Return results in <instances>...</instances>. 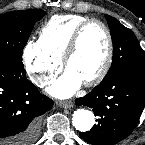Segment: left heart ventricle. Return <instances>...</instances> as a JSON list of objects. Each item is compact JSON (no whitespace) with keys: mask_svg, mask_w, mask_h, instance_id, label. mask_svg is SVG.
Returning <instances> with one entry per match:
<instances>
[{"mask_svg":"<svg viewBox=\"0 0 145 145\" xmlns=\"http://www.w3.org/2000/svg\"><path fill=\"white\" fill-rule=\"evenodd\" d=\"M107 52V38L103 28L91 24L82 33L78 49L71 58L67 70L81 80L94 76L101 68Z\"/></svg>","mask_w":145,"mask_h":145,"instance_id":"1","label":"left heart ventricle"}]
</instances>
